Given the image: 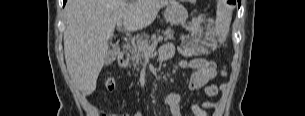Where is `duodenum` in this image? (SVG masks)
Masks as SVG:
<instances>
[{
	"mask_svg": "<svg viewBox=\"0 0 305 116\" xmlns=\"http://www.w3.org/2000/svg\"><path fill=\"white\" fill-rule=\"evenodd\" d=\"M129 60H130L129 53H127L125 51L121 52L118 56V64L121 67H126L129 63Z\"/></svg>",
	"mask_w": 305,
	"mask_h": 116,
	"instance_id": "obj_1",
	"label": "duodenum"
}]
</instances>
